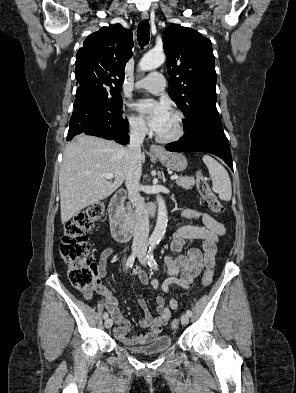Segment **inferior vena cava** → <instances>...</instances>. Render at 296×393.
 Listing matches in <instances>:
<instances>
[{
    "instance_id": "1",
    "label": "inferior vena cava",
    "mask_w": 296,
    "mask_h": 393,
    "mask_svg": "<svg viewBox=\"0 0 296 393\" xmlns=\"http://www.w3.org/2000/svg\"><path fill=\"white\" fill-rule=\"evenodd\" d=\"M147 127L143 122L130 123V143L123 149V160L126 166L125 185L128 190V198L134 207L135 231L133 246L147 248L149 236V217L144 198L140 195L141 177V145L143 144Z\"/></svg>"
}]
</instances>
